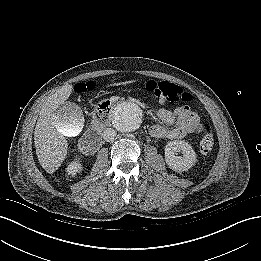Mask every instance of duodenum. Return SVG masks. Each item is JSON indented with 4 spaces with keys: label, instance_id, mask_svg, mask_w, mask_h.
Listing matches in <instances>:
<instances>
[{
    "label": "duodenum",
    "instance_id": "410a0bca",
    "mask_svg": "<svg viewBox=\"0 0 261 261\" xmlns=\"http://www.w3.org/2000/svg\"><path fill=\"white\" fill-rule=\"evenodd\" d=\"M108 121L95 122L92 130L87 132L79 142V150L83 154H93L102 145L101 131L108 125Z\"/></svg>",
    "mask_w": 261,
    "mask_h": 261
}]
</instances>
